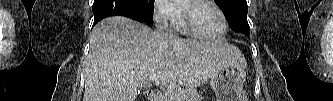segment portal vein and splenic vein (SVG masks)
<instances>
[{"label":"portal vein and splenic vein","mask_w":333,"mask_h":101,"mask_svg":"<svg viewBox=\"0 0 333 101\" xmlns=\"http://www.w3.org/2000/svg\"><path fill=\"white\" fill-rule=\"evenodd\" d=\"M149 79H150L151 81H153L155 84H159V76H157V75H151V76L149 77ZM180 93H182V92H180Z\"/></svg>","instance_id":"18ae733b"}]
</instances>
